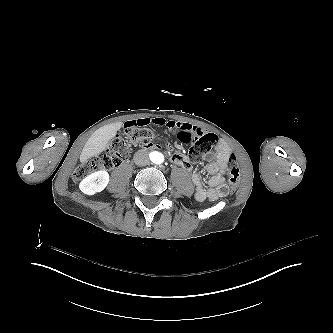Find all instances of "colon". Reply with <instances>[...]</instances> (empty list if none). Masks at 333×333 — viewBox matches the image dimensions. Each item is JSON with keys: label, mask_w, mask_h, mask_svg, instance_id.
<instances>
[{"label": "colon", "mask_w": 333, "mask_h": 333, "mask_svg": "<svg viewBox=\"0 0 333 333\" xmlns=\"http://www.w3.org/2000/svg\"><path fill=\"white\" fill-rule=\"evenodd\" d=\"M183 133L179 135L180 142L188 143L195 142V145L190 149V159L192 162L200 161L203 157L210 153L212 146L216 145L218 139L213 135H204L201 128L195 129L196 136L192 138L191 128L189 125L182 127ZM154 140V135L144 127L128 128L124 130L122 137L112 138L105 147L103 154L90 157L82 165L77 166L73 171L74 179H81L87 175L106 171L126 160L130 152V144L146 146ZM229 186L223 187L221 190L228 193L235 188L240 179V166L237 158L233 155L229 156Z\"/></svg>", "instance_id": "obj_1"}]
</instances>
